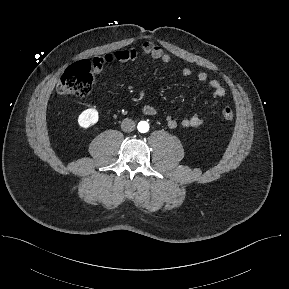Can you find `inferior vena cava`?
<instances>
[{
    "label": "inferior vena cava",
    "mask_w": 289,
    "mask_h": 289,
    "mask_svg": "<svg viewBox=\"0 0 289 289\" xmlns=\"http://www.w3.org/2000/svg\"><path fill=\"white\" fill-rule=\"evenodd\" d=\"M121 129L124 132H131L135 129V122L132 119H124L121 123Z\"/></svg>",
    "instance_id": "inferior-vena-cava-1"
}]
</instances>
